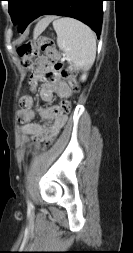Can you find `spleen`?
Returning a JSON list of instances; mask_svg holds the SVG:
<instances>
[{"instance_id": "spleen-1", "label": "spleen", "mask_w": 133, "mask_h": 253, "mask_svg": "<svg viewBox=\"0 0 133 253\" xmlns=\"http://www.w3.org/2000/svg\"><path fill=\"white\" fill-rule=\"evenodd\" d=\"M57 45L74 71L87 70L96 56V39L93 31L84 23L69 17L54 20Z\"/></svg>"}]
</instances>
